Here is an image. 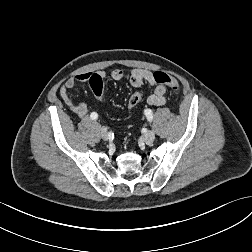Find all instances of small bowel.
<instances>
[{
  "label": "small bowel",
  "instance_id": "obj_1",
  "mask_svg": "<svg viewBox=\"0 0 252 252\" xmlns=\"http://www.w3.org/2000/svg\"><path fill=\"white\" fill-rule=\"evenodd\" d=\"M130 84L138 88L143 83H147L152 88V93L147 98V103L151 106H162L166 102L165 93L166 88L162 84H158L154 80V74L146 69H132L128 73ZM126 73L121 69H115L111 72V78L114 80H121ZM91 73H82L75 77L69 78L59 88V94L68 108L79 118H83L89 113V108L85 103H75L68 95V91L72 89L76 83L85 82L89 79Z\"/></svg>",
  "mask_w": 252,
  "mask_h": 252
}]
</instances>
